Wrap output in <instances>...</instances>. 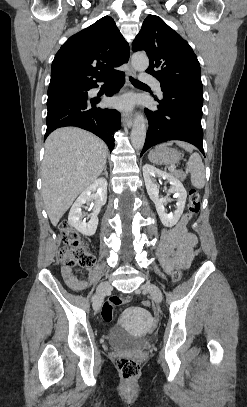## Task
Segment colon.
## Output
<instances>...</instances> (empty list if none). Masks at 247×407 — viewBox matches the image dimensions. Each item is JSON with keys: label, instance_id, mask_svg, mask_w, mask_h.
<instances>
[{"label": "colon", "instance_id": "1", "mask_svg": "<svg viewBox=\"0 0 247 407\" xmlns=\"http://www.w3.org/2000/svg\"><path fill=\"white\" fill-rule=\"evenodd\" d=\"M201 208V195L191 189L189 192L188 211L186 219L189 220L194 214L198 213ZM60 232L64 241V247L59 254L60 263L63 267H84L90 268L94 264V257L90 252L89 246L85 240L68 224L67 221L60 223ZM182 276L181 270H175L171 275L173 282H179ZM129 297L111 296L103 304L101 316L104 321L110 322L113 319L114 307L121 306L129 302ZM142 305L148 307L150 302L145 300ZM117 368L121 377L126 381L136 379L140 373V363L129 357H121L117 360Z\"/></svg>", "mask_w": 247, "mask_h": 407}]
</instances>
